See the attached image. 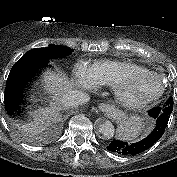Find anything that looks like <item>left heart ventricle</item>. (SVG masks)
Here are the masks:
<instances>
[{
    "mask_svg": "<svg viewBox=\"0 0 177 177\" xmlns=\"http://www.w3.org/2000/svg\"><path fill=\"white\" fill-rule=\"evenodd\" d=\"M159 89L160 83L149 77L130 78L125 85V91L131 98L151 96Z\"/></svg>",
    "mask_w": 177,
    "mask_h": 177,
    "instance_id": "obj_1",
    "label": "left heart ventricle"
}]
</instances>
